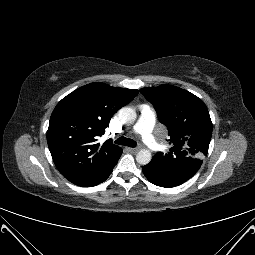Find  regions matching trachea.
I'll return each instance as SVG.
<instances>
[{"label": "trachea", "instance_id": "1", "mask_svg": "<svg viewBox=\"0 0 255 255\" xmlns=\"http://www.w3.org/2000/svg\"><path fill=\"white\" fill-rule=\"evenodd\" d=\"M116 144H120V145H126L128 147H135L137 145V143L130 139V138H125V137H120L115 141Z\"/></svg>", "mask_w": 255, "mask_h": 255}]
</instances>
